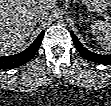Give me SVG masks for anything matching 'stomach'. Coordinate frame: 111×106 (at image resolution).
I'll use <instances>...</instances> for the list:
<instances>
[{
	"label": "stomach",
	"instance_id": "stomach-1",
	"mask_svg": "<svg viewBox=\"0 0 111 106\" xmlns=\"http://www.w3.org/2000/svg\"><path fill=\"white\" fill-rule=\"evenodd\" d=\"M110 4L107 0H87L85 6L90 12H96L98 14L103 13L107 6Z\"/></svg>",
	"mask_w": 111,
	"mask_h": 106
}]
</instances>
